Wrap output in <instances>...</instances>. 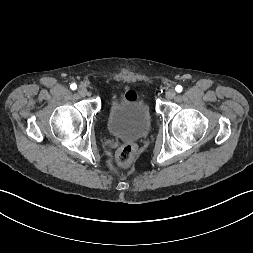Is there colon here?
<instances>
[{
    "label": "colon",
    "instance_id": "1",
    "mask_svg": "<svg viewBox=\"0 0 253 253\" xmlns=\"http://www.w3.org/2000/svg\"><path fill=\"white\" fill-rule=\"evenodd\" d=\"M135 147L131 143H126L122 145L117 152V163L120 167L126 168L130 166Z\"/></svg>",
    "mask_w": 253,
    "mask_h": 253
}]
</instances>
